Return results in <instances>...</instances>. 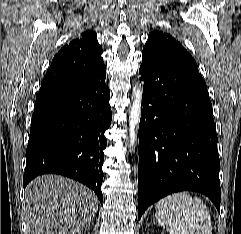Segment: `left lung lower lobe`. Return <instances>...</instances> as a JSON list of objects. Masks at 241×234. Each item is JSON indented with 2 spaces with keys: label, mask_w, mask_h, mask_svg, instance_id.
<instances>
[{
  "label": "left lung lower lobe",
  "mask_w": 241,
  "mask_h": 234,
  "mask_svg": "<svg viewBox=\"0 0 241 234\" xmlns=\"http://www.w3.org/2000/svg\"><path fill=\"white\" fill-rule=\"evenodd\" d=\"M138 219L162 197L183 190L208 196L220 212V160L207 87L198 72L142 52Z\"/></svg>",
  "instance_id": "0a47b994"
}]
</instances>
